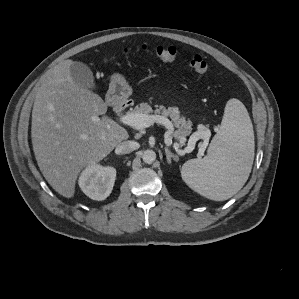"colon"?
Listing matches in <instances>:
<instances>
[{"mask_svg":"<svg viewBox=\"0 0 299 299\" xmlns=\"http://www.w3.org/2000/svg\"><path fill=\"white\" fill-rule=\"evenodd\" d=\"M141 51H148V47L143 45L140 48ZM134 50L130 48H125L122 51L123 56H128L131 53H133ZM154 54L158 59L164 62H172L175 60L178 50L174 46H158L153 50ZM190 66L194 71H196L199 74H206L209 72V65L206 62V60L203 59L200 55H195L190 60Z\"/></svg>","mask_w":299,"mask_h":299,"instance_id":"obj_1","label":"colon"}]
</instances>
